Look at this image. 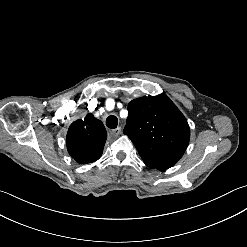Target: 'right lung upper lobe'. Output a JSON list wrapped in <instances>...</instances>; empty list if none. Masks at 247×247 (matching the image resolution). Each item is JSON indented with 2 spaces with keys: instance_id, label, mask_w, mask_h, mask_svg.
Returning <instances> with one entry per match:
<instances>
[{
  "instance_id": "right-lung-upper-lobe-1",
  "label": "right lung upper lobe",
  "mask_w": 247,
  "mask_h": 247,
  "mask_svg": "<svg viewBox=\"0 0 247 247\" xmlns=\"http://www.w3.org/2000/svg\"><path fill=\"white\" fill-rule=\"evenodd\" d=\"M103 123L91 113L83 120L73 122L66 136L67 149L78 163L87 164L98 160L106 141Z\"/></svg>"
}]
</instances>
